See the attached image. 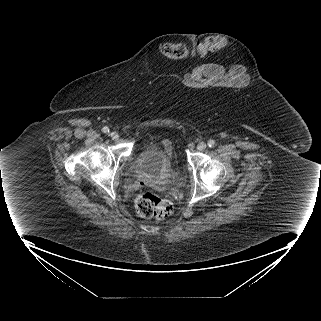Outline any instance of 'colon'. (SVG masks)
<instances>
[{
    "mask_svg": "<svg viewBox=\"0 0 321 321\" xmlns=\"http://www.w3.org/2000/svg\"><path fill=\"white\" fill-rule=\"evenodd\" d=\"M223 47L222 38L210 37L199 44L196 52L199 56H207ZM161 52L171 61H184L192 54V50L183 43H166L161 47ZM135 209L141 217L165 219L172 214L173 205L169 200L146 191L137 196Z\"/></svg>",
    "mask_w": 321,
    "mask_h": 321,
    "instance_id": "1",
    "label": "colon"
}]
</instances>
